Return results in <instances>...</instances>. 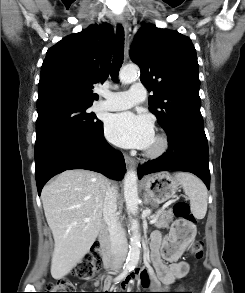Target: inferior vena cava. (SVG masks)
<instances>
[{"label": "inferior vena cava", "instance_id": "inferior-vena-cava-1", "mask_svg": "<svg viewBox=\"0 0 245 293\" xmlns=\"http://www.w3.org/2000/svg\"><path fill=\"white\" fill-rule=\"evenodd\" d=\"M117 189L112 186L106 191L103 204V218L108 226L110 251L116 267L120 266L127 255V239L117 214Z\"/></svg>", "mask_w": 245, "mask_h": 293}]
</instances>
